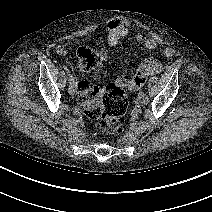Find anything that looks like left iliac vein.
Here are the masks:
<instances>
[{
  "label": "left iliac vein",
  "mask_w": 212,
  "mask_h": 212,
  "mask_svg": "<svg viewBox=\"0 0 212 212\" xmlns=\"http://www.w3.org/2000/svg\"><path fill=\"white\" fill-rule=\"evenodd\" d=\"M138 98L141 100V102H142L143 104H145V103H144V93H143V92H140V93L138 94Z\"/></svg>",
  "instance_id": "4c4485c4"
}]
</instances>
